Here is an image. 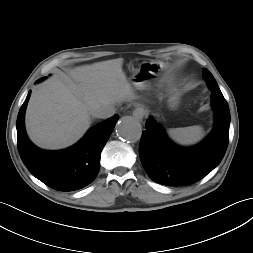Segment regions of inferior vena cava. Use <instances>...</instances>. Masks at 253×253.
Here are the masks:
<instances>
[{"label": "inferior vena cava", "mask_w": 253, "mask_h": 253, "mask_svg": "<svg viewBox=\"0 0 253 253\" xmlns=\"http://www.w3.org/2000/svg\"><path fill=\"white\" fill-rule=\"evenodd\" d=\"M94 116L101 119H107L115 114V108L111 105L109 106H103L98 109H96L93 112Z\"/></svg>", "instance_id": "obj_1"}]
</instances>
